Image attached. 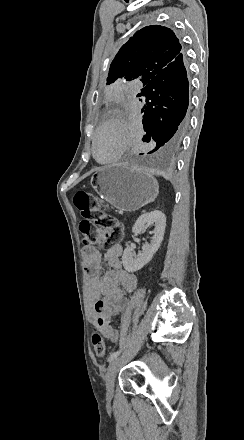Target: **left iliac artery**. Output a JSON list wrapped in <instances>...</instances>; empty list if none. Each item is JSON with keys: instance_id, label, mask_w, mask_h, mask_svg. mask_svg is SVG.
<instances>
[{"instance_id": "left-iliac-artery-1", "label": "left iliac artery", "mask_w": 244, "mask_h": 440, "mask_svg": "<svg viewBox=\"0 0 244 440\" xmlns=\"http://www.w3.org/2000/svg\"><path fill=\"white\" fill-rule=\"evenodd\" d=\"M120 351H114L113 353H111V355L108 358V361H112L113 359H115L116 357H118L120 355Z\"/></svg>"}]
</instances>
